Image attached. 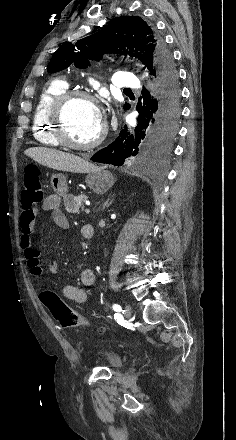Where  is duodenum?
Here are the masks:
<instances>
[{"label":"duodenum","mask_w":236,"mask_h":440,"mask_svg":"<svg viewBox=\"0 0 236 440\" xmlns=\"http://www.w3.org/2000/svg\"><path fill=\"white\" fill-rule=\"evenodd\" d=\"M85 230V234L87 235L88 238H92L94 235V227L91 225H86L84 227Z\"/></svg>","instance_id":"1"}]
</instances>
